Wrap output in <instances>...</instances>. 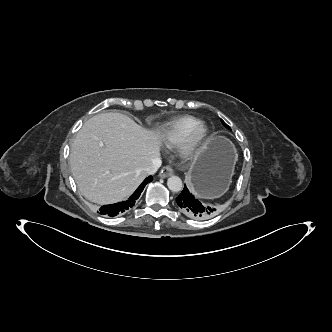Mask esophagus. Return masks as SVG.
<instances>
[{"label":"esophagus","mask_w":332,"mask_h":332,"mask_svg":"<svg viewBox=\"0 0 332 332\" xmlns=\"http://www.w3.org/2000/svg\"><path fill=\"white\" fill-rule=\"evenodd\" d=\"M172 173H173V169L169 165H167L161 169L158 176L161 178H166V177L172 175Z\"/></svg>","instance_id":"esophagus-1"}]
</instances>
